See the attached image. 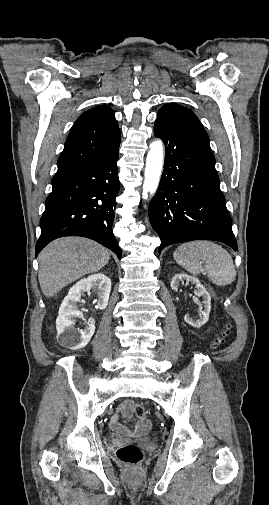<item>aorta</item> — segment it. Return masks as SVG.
<instances>
[{
	"instance_id": "obj_1",
	"label": "aorta",
	"mask_w": 269,
	"mask_h": 505,
	"mask_svg": "<svg viewBox=\"0 0 269 505\" xmlns=\"http://www.w3.org/2000/svg\"><path fill=\"white\" fill-rule=\"evenodd\" d=\"M164 164L163 142L153 141L146 158V166L143 183V199L153 196L159 186Z\"/></svg>"
}]
</instances>
